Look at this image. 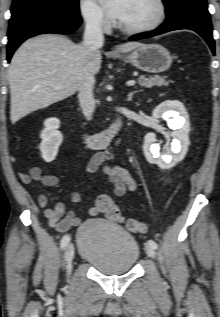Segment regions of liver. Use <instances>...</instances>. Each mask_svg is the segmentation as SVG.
Instances as JSON below:
<instances>
[{
	"instance_id": "1",
	"label": "liver",
	"mask_w": 220,
	"mask_h": 317,
	"mask_svg": "<svg viewBox=\"0 0 220 317\" xmlns=\"http://www.w3.org/2000/svg\"><path fill=\"white\" fill-rule=\"evenodd\" d=\"M140 46L139 42H128L118 51L127 53ZM101 63L99 50L89 57L83 44L64 36L44 34L24 42L14 53L8 70L12 124L75 94L89 66L95 75Z\"/></svg>"
}]
</instances>
